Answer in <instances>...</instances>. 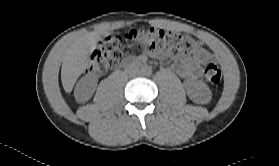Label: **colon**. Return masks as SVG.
<instances>
[{"label":"colon","instance_id":"colon-1","mask_svg":"<svg viewBox=\"0 0 279 166\" xmlns=\"http://www.w3.org/2000/svg\"><path fill=\"white\" fill-rule=\"evenodd\" d=\"M130 41L136 47H147L153 54L168 53L172 57H184L200 52L202 44L187 34L157 28L131 29L122 36H105L91 56L90 71L104 74L114 68L123 56L122 43ZM204 76L211 84H218L222 69L216 63L204 66Z\"/></svg>","mask_w":279,"mask_h":166}]
</instances>
